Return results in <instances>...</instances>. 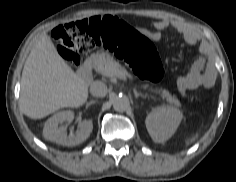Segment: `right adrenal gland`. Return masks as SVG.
<instances>
[{
    "label": "right adrenal gland",
    "instance_id": "1",
    "mask_svg": "<svg viewBox=\"0 0 236 182\" xmlns=\"http://www.w3.org/2000/svg\"><path fill=\"white\" fill-rule=\"evenodd\" d=\"M95 103H97V101L92 100V101L89 103V105H92V104H95Z\"/></svg>",
    "mask_w": 236,
    "mask_h": 182
}]
</instances>
